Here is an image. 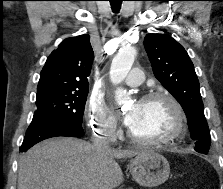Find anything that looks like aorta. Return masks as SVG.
Returning <instances> with one entry per match:
<instances>
[{
	"label": "aorta",
	"mask_w": 223,
	"mask_h": 189,
	"mask_svg": "<svg viewBox=\"0 0 223 189\" xmlns=\"http://www.w3.org/2000/svg\"><path fill=\"white\" fill-rule=\"evenodd\" d=\"M136 56L133 47L125 46L114 57L110 68V80L114 85L120 84L129 73ZM115 100L122 108L129 105L130 97L126 90L118 88L115 91Z\"/></svg>",
	"instance_id": "aorta-1"
}]
</instances>
